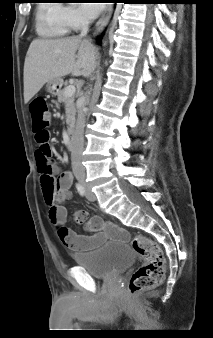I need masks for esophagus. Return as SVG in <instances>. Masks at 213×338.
<instances>
[{"instance_id":"obj_1","label":"esophagus","mask_w":213,"mask_h":338,"mask_svg":"<svg viewBox=\"0 0 213 338\" xmlns=\"http://www.w3.org/2000/svg\"><path fill=\"white\" fill-rule=\"evenodd\" d=\"M112 11H113V3H107L101 17L96 23L95 32H94L95 35L100 33L102 29L104 28V26L107 24L112 14Z\"/></svg>"}]
</instances>
